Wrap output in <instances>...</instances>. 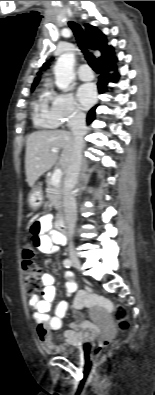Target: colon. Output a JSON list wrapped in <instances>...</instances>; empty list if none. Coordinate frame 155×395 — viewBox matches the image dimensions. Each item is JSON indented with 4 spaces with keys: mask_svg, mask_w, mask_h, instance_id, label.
Returning <instances> with one entry per match:
<instances>
[{
    "mask_svg": "<svg viewBox=\"0 0 155 395\" xmlns=\"http://www.w3.org/2000/svg\"><path fill=\"white\" fill-rule=\"evenodd\" d=\"M35 252L32 245L28 244L23 249V281L26 292L34 294L41 289L40 269L34 260ZM116 319L119 323V327L122 330L128 327V313L126 308L119 306L115 312ZM110 342H103L98 348V352H103L109 347Z\"/></svg>",
    "mask_w": 155,
    "mask_h": 395,
    "instance_id": "5ec220e1",
    "label": "colon"
}]
</instances>
